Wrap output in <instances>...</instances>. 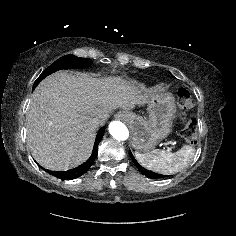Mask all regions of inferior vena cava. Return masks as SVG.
<instances>
[{
    "label": "inferior vena cava",
    "mask_w": 236,
    "mask_h": 236,
    "mask_svg": "<svg viewBox=\"0 0 236 236\" xmlns=\"http://www.w3.org/2000/svg\"><path fill=\"white\" fill-rule=\"evenodd\" d=\"M102 123H103V122H102L101 120H99V119H94V120L92 121V126H93L94 128H98Z\"/></svg>",
    "instance_id": "602c4592"
}]
</instances>
